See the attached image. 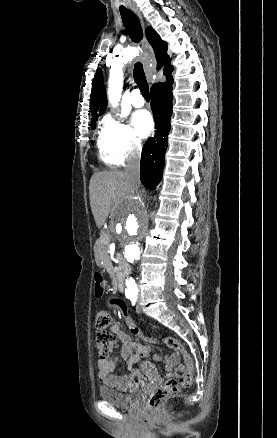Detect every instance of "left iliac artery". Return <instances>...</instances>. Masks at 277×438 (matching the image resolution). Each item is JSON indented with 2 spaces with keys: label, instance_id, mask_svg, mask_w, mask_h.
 <instances>
[{
  "label": "left iliac artery",
  "instance_id": "obj_1",
  "mask_svg": "<svg viewBox=\"0 0 277 438\" xmlns=\"http://www.w3.org/2000/svg\"><path fill=\"white\" fill-rule=\"evenodd\" d=\"M129 299L132 301V304L135 305L137 297L131 296V297H129Z\"/></svg>",
  "mask_w": 277,
  "mask_h": 438
}]
</instances>
